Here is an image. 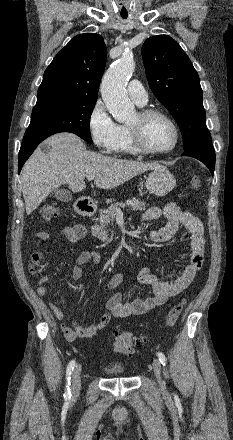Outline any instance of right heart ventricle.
<instances>
[{
	"label": "right heart ventricle",
	"mask_w": 233,
	"mask_h": 440,
	"mask_svg": "<svg viewBox=\"0 0 233 440\" xmlns=\"http://www.w3.org/2000/svg\"><path fill=\"white\" fill-rule=\"evenodd\" d=\"M118 153L120 154H129V155H137L139 152L133 145L132 138L130 136L128 127L122 126V138L118 146Z\"/></svg>",
	"instance_id": "e07e8e85"
}]
</instances>
